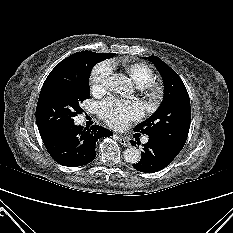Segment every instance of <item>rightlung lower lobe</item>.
I'll list each match as a JSON object with an SVG mask.
<instances>
[{"label": "right lung lower lobe", "instance_id": "1", "mask_svg": "<svg viewBox=\"0 0 233 233\" xmlns=\"http://www.w3.org/2000/svg\"><path fill=\"white\" fill-rule=\"evenodd\" d=\"M112 134L110 130L98 125L84 128L73 124L67 131L42 137V140L57 163L67 167H77L93 161L96 157V141Z\"/></svg>", "mask_w": 233, "mask_h": 233}]
</instances>
